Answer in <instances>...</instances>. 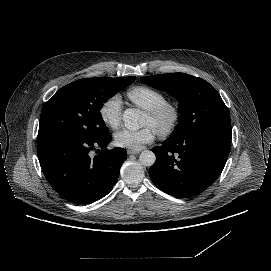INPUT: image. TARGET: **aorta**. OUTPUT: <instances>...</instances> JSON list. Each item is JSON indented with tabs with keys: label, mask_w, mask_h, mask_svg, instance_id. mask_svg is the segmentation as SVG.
<instances>
[{
	"label": "aorta",
	"mask_w": 271,
	"mask_h": 271,
	"mask_svg": "<svg viewBox=\"0 0 271 271\" xmlns=\"http://www.w3.org/2000/svg\"><path fill=\"white\" fill-rule=\"evenodd\" d=\"M122 120L128 130L136 131L144 127L146 118L138 108H126L122 114ZM140 163L146 167H151L156 161V156L152 151H143L140 156Z\"/></svg>",
	"instance_id": "762f6f07"
}]
</instances>
